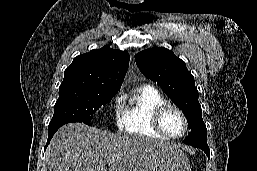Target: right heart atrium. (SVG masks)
Returning <instances> with one entry per match:
<instances>
[{"label":"right heart atrium","mask_w":257,"mask_h":171,"mask_svg":"<svg viewBox=\"0 0 257 171\" xmlns=\"http://www.w3.org/2000/svg\"><path fill=\"white\" fill-rule=\"evenodd\" d=\"M112 108L114 111L115 118L119 123V120H120V117H121L122 111H123L122 100L120 97L117 96L114 98L113 103H112Z\"/></svg>","instance_id":"1"}]
</instances>
